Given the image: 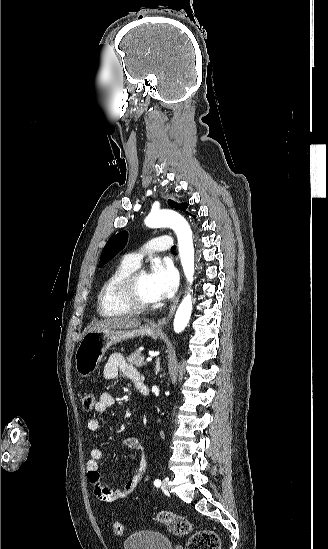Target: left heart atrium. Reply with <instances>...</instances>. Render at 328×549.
I'll return each instance as SVG.
<instances>
[{
	"label": "left heart atrium",
	"instance_id": "left-heart-atrium-1",
	"mask_svg": "<svg viewBox=\"0 0 328 549\" xmlns=\"http://www.w3.org/2000/svg\"><path fill=\"white\" fill-rule=\"evenodd\" d=\"M150 289L155 301L165 300L173 296L178 287V274L170 263L156 265L149 274Z\"/></svg>",
	"mask_w": 328,
	"mask_h": 549
}]
</instances>
